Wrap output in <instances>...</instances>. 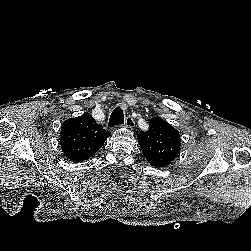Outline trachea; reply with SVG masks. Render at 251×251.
<instances>
[{
    "label": "trachea",
    "mask_w": 251,
    "mask_h": 251,
    "mask_svg": "<svg viewBox=\"0 0 251 251\" xmlns=\"http://www.w3.org/2000/svg\"><path fill=\"white\" fill-rule=\"evenodd\" d=\"M124 122V114L121 107H116L110 115L108 126H116Z\"/></svg>",
    "instance_id": "trachea-1"
}]
</instances>
